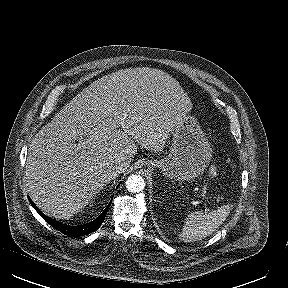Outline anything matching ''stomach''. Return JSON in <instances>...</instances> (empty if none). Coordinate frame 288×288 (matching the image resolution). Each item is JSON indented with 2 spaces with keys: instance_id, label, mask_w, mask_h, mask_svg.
I'll return each mask as SVG.
<instances>
[{
  "instance_id": "0dacf381",
  "label": "stomach",
  "mask_w": 288,
  "mask_h": 288,
  "mask_svg": "<svg viewBox=\"0 0 288 288\" xmlns=\"http://www.w3.org/2000/svg\"><path fill=\"white\" fill-rule=\"evenodd\" d=\"M168 156L147 161L148 168H159L162 174L176 181H193L208 167L211 145L195 117L184 116L173 130Z\"/></svg>"
}]
</instances>
